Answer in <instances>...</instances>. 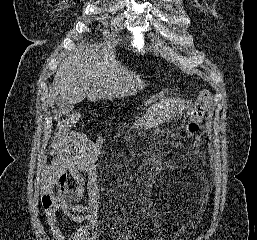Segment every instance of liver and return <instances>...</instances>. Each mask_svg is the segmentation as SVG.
I'll return each mask as SVG.
<instances>
[{
    "label": "liver",
    "mask_w": 257,
    "mask_h": 240,
    "mask_svg": "<svg viewBox=\"0 0 257 240\" xmlns=\"http://www.w3.org/2000/svg\"><path fill=\"white\" fill-rule=\"evenodd\" d=\"M89 46V48H88ZM80 43L68 53L54 76L48 98L51 104L60 95L70 104L87 99L95 102L102 98L135 95L142 82L140 76L116 60L109 46Z\"/></svg>",
    "instance_id": "obj_1"
}]
</instances>
